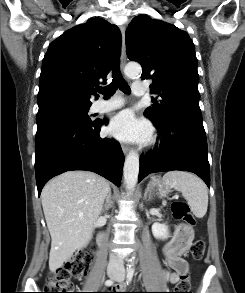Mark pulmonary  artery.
<instances>
[{
  "instance_id": "e3ab8cb5",
  "label": "pulmonary artery",
  "mask_w": 245,
  "mask_h": 293,
  "mask_svg": "<svg viewBox=\"0 0 245 293\" xmlns=\"http://www.w3.org/2000/svg\"><path fill=\"white\" fill-rule=\"evenodd\" d=\"M133 93L137 96L146 95L148 92L146 90V87L143 83H134L133 84ZM124 105V102L122 99L117 97H112L106 101H98L95 104V111L98 112H108L111 110L118 109Z\"/></svg>"
}]
</instances>
